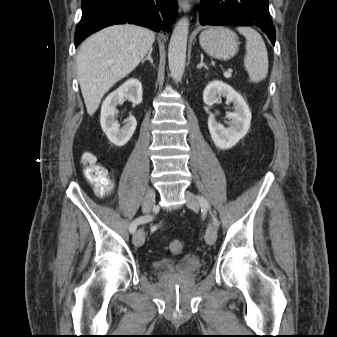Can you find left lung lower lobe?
<instances>
[{"label": "left lung lower lobe", "mask_w": 337, "mask_h": 337, "mask_svg": "<svg viewBox=\"0 0 337 337\" xmlns=\"http://www.w3.org/2000/svg\"><path fill=\"white\" fill-rule=\"evenodd\" d=\"M199 13L201 25H255L275 44L268 0H201Z\"/></svg>", "instance_id": "left-lung-lower-lobe-1"}]
</instances>
